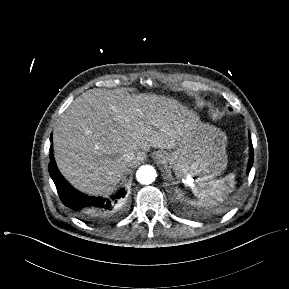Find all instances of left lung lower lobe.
I'll return each instance as SVG.
<instances>
[{"label":"left lung lower lobe","instance_id":"0a47b994","mask_svg":"<svg viewBox=\"0 0 289 289\" xmlns=\"http://www.w3.org/2000/svg\"><path fill=\"white\" fill-rule=\"evenodd\" d=\"M253 159H254V152H253L252 141L250 139V160H249V164H248V172L251 170V167L253 164Z\"/></svg>","mask_w":289,"mask_h":289}]
</instances>
